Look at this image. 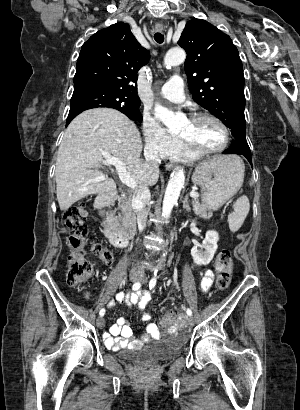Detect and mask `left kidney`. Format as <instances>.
I'll list each match as a JSON object with an SVG mask.
<instances>
[{
    "label": "left kidney",
    "mask_w": 300,
    "mask_h": 410,
    "mask_svg": "<svg viewBox=\"0 0 300 410\" xmlns=\"http://www.w3.org/2000/svg\"><path fill=\"white\" fill-rule=\"evenodd\" d=\"M219 235L216 231L206 232L205 239L201 245H195L191 249V256L196 265H207L211 262L217 250Z\"/></svg>",
    "instance_id": "obj_1"
}]
</instances>
